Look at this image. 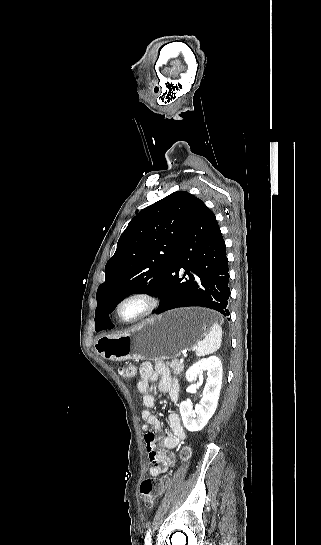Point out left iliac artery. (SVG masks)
<instances>
[{
  "instance_id": "left-iliac-artery-1",
  "label": "left iliac artery",
  "mask_w": 321,
  "mask_h": 545,
  "mask_svg": "<svg viewBox=\"0 0 321 545\" xmlns=\"http://www.w3.org/2000/svg\"><path fill=\"white\" fill-rule=\"evenodd\" d=\"M150 531L149 530L147 533H146V536H145V545H152L151 544V534H150Z\"/></svg>"
}]
</instances>
